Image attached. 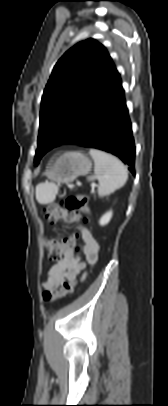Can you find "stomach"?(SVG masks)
I'll return each mask as SVG.
<instances>
[{"label": "stomach", "mask_w": 168, "mask_h": 406, "mask_svg": "<svg viewBox=\"0 0 168 406\" xmlns=\"http://www.w3.org/2000/svg\"><path fill=\"white\" fill-rule=\"evenodd\" d=\"M92 161L81 152H64L57 156L45 172L48 179L60 183L73 182L78 176L88 174Z\"/></svg>", "instance_id": "obj_1"}]
</instances>
